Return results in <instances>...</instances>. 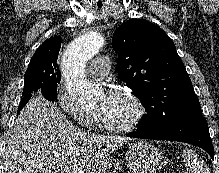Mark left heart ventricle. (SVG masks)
<instances>
[{"label": "left heart ventricle", "instance_id": "obj_1", "mask_svg": "<svg viewBox=\"0 0 219 173\" xmlns=\"http://www.w3.org/2000/svg\"><path fill=\"white\" fill-rule=\"evenodd\" d=\"M101 117L112 125L121 126L129 123L135 115L133 103L124 95L112 93L105 103V95H101L97 102Z\"/></svg>", "mask_w": 219, "mask_h": 173}]
</instances>
